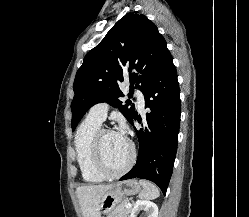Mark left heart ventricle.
Segmentation results:
<instances>
[{"label":"left heart ventricle","instance_id":"b2bd125f","mask_svg":"<svg viewBox=\"0 0 249 217\" xmlns=\"http://www.w3.org/2000/svg\"><path fill=\"white\" fill-rule=\"evenodd\" d=\"M105 162L111 170H119L127 163L130 150L127 140L117 132L105 133L102 138Z\"/></svg>","mask_w":249,"mask_h":217}]
</instances>
